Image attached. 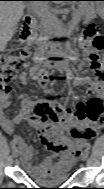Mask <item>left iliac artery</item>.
I'll return each instance as SVG.
<instances>
[{
	"label": "left iliac artery",
	"mask_w": 104,
	"mask_h": 189,
	"mask_svg": "<svg viewBox=\"0 0 104 189\" xmlns=\"http://www.w3.org/2000/svg\"><path fill=\"white\" fill-rule=\"evenodd\" d=\"M91 148V145L90 144H86V151H89Z\"/></svg>",
	"instance_id": "obj_1"
}]
</instances>
